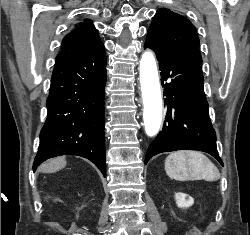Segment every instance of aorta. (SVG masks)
Wrapping results in <instances>:
<instances>
[{"instance_id": "1", "label": "aorta", "mask_w": 250, "mask_h": 235, "mask_svg": "<svg viewBox=\"0 0 250 235\" xmlns=\"http://www.w3.org/2000/svg\"><path fill=\"white\" fill-rule=\"evenodd\" d=\"M140 83L144 104L143 120L148 136H155L162 121V99L154 55L146 51L141 58Z\"/></svg>"}]
</instances>
